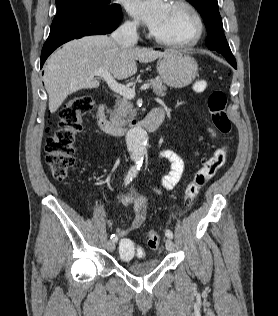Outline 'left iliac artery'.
<instances>
[{"mask_svg":"<svg viewBox=\"0 0 278 316\" xmlns=\"http://www.w3.org/2000/svg\"><path fill=\"white\" fill-rule=\"evenodd\" d=\"M165 235L169 238L172 239L173 238V232L169 229L166 230Z\"/></svg>","mask_w":278,"mask_h":316,"instance_id":"44dca946","label":"left iliac artery"}]
</instances>
